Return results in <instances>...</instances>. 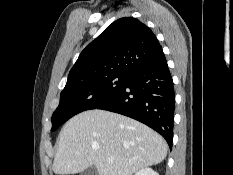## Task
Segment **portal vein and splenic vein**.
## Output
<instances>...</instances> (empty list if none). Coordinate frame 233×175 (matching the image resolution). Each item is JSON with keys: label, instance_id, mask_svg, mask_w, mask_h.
<instances>
[{"label": "portal vein and splenic vein", "instance_id": "18ae733b", "mask_svg": "<svg viewBox=\"0 0 233 175\" xmlns=\"http://www.w3.org/2000/svg\"><path fill=\"white\" fill-rule=\"evenodd\" d=\"M108 163H113L114 162V159L113 158H108Z\"/></svg>", "mask_w": 233, "mask_h": 175}]
</instances>
